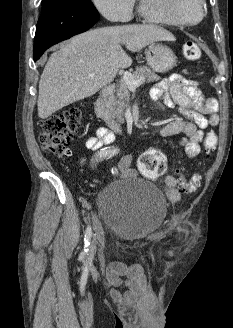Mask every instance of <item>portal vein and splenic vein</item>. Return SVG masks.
Segmentation results:
<instances>
[{
	"label": "portal vein and splenic vein",
	"instance_id": "18ae733b",
	"mask_svg": "<svg viewBox=\"0 0 233 328\" xmlns=\"http://www.w3.org/2000/svg\"><path fill=\"white\" fill-rule=\"evenodd\" d=\"M122 80L129 86V89L131 90H135L138 86H140L144 82L143 78L135 80L133 76L128 72L123 73Z\"/></svg>",
	"mask_w": 233,
	"mask_h": 328
}]
</instances>
